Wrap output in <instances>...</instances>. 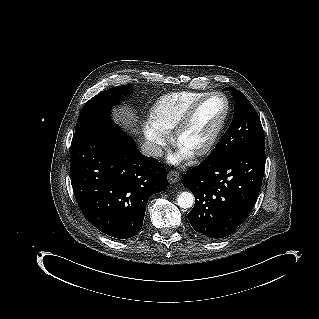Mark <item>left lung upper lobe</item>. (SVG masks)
Listing matches in <instances>:
<instances>
[{"label":"left lung upper lobe","mask_w":319,"mask_h":319,"mask_svg":"<svg viewBox=\"0 0 319 319\" xmlns=\"http://www.w3.org/2000/svg\"><path fill=\"white\" fill-rule=\"evenodd\" d=\"M225 90L230 91L235 99V113L229 128L205 159L208 162H217L245 149L265 146L261 121L252 104L239 90L233 87Z\"/></svg>","instance_id":"obj_1"}]
</instances>
